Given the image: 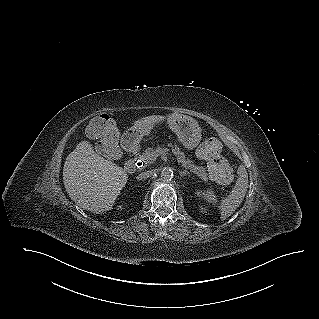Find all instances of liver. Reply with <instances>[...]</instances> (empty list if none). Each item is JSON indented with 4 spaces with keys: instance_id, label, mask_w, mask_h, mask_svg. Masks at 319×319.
<instances>
[{
    "instance_id": "1",
    "label": "liver",
    "mask_w": 319,
    "mask_h": 319,
    "mask_svg": "<svg viewBox=\"0 0 319 319\" xmlns=\"http://www.w3.org/2000/svg\"><path fill=\"white\" fill-rule=\"evenodd\" d=\"M166 119L148 116L133 127L151 128ZM168 119V118H167ZM128 180L122 167L96 153L90 142L81 141L64 163L63 182L70 198L84 210L96 213L111 210Z\"/></svg>"
}]
</instances>
